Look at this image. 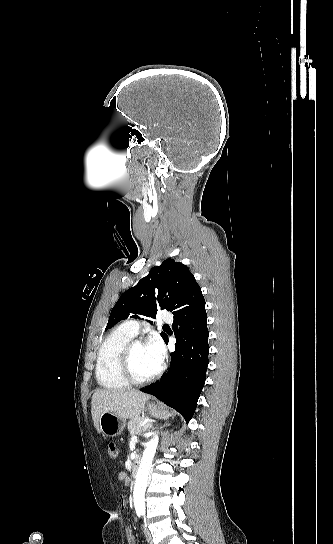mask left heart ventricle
I'll return each mask as SVG.
<instances>
[{
	"instance_id": "left-heart-ventricle-1",
	"label": "left heart ventricle",
	"mask_w": 333,
	"mask_h": 544,
	"mask_svg": "<svg viewBox=\"0 0 333 544\" xmlns=\"http://www.w3.org/2000/svg\"><path fill=\"white\" fill-rule=\"evenodd\" d=\"M131 366L134 375L139 379L147 378L158 370L153 364L145 344H136L134 346Z\"/></svg>"
}]
</instances>
